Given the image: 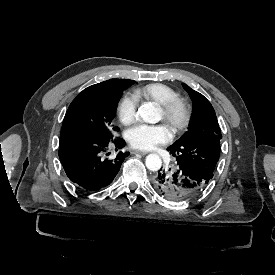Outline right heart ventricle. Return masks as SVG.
<instances>
[{
	"instance_id": "right-heart-ventricle-1",
	"label": "right heart ventricle",
	"mask_w": 275,
	"mask_h": 275,
	"mask_svg": "<svg viewBox=\"0 0 275 275\" xmlns=\"http://www.w3.org/2000/svg\"><path fill=\"white\" fill-rule=\"evenodd\" d=\"M137 98L148 99L163 103L177 96L176 92L168 85L160 82H151L135 89Z\"/></svg>"
}]
</instances>
